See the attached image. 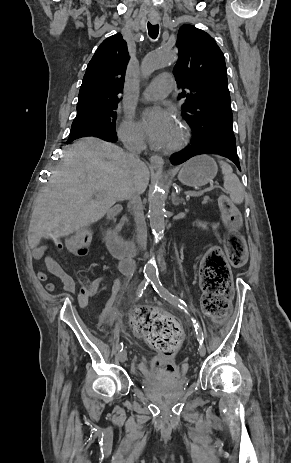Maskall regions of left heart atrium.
Instances as JSON below:
<instances>
[{
  "instance_id": "1",
  "label": "left heart atrium",
  "mask_w": 291,
  "mask_h": 463,
  "mask_svg": "<svg viewBox=\"0 0 291 463\" xmlns=\"http://www.w3.org/2000/svg\"><path fill=\"white\" fill-rule=\"evenodd\" d=\"M141 126L150 143L158 147L167 146L177 129L174 116L158 107L143 112Z\"/></svg>"
}]
</instances>
